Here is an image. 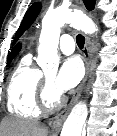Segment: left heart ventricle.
Masks as SVG:
<instances>
[{
    "mask_svg": "<svg viewBox=\"0 0 117 136\" xmlns=\"http://www.w3.org/2000/svg\"><path fill=\"white\" fill-rule=\"evenodd\" d=\"M47 79L48 81L52 84L53 80H54V75L53 74H49L47 75ZM54 90V89H53Z\"/></svg>",
    "mask_w": 117,
    "mask_h": 136,
    "instance_id": "1",
    "label": "left heart ventricle"
}]
</instances>
